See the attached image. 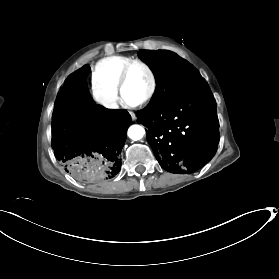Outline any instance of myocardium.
<instances>
[{
    "label": "myocardium",
    "mask_w": 279,
    "mask_h": 279,
    "mask_svg": "<svg viewBox=\"0 0 279 279\" xmlns=\"http://www.w3.org/2000/svg\"><path fill=\"white\" fill-rule=\"evenodd\" d=\"M134 66H141L142 68H144L147 71V73L150 77V80H151V86H150V89H149L147 95L143 99H141L140 101H138L136 103L128 104V105L129 106H143L144 104L148 103L154 97V95L156 93V89H157L156 75H155L154 71L152 70V68L144 61L139 60V59H134V60H131L129 63H127L123 67V69L121 70V72L118 76L117 91H118V94H119L121 100L124 103H126L124 100V90H125V86H126V82H127V78L130 73V70Z\"/></svg>",
    "instance_id": "myocardium-1"
}]
</instances>
